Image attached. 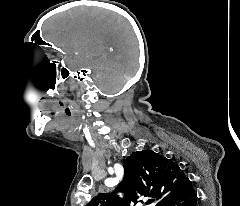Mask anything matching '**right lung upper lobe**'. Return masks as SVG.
Listing matches in <instances>:
<instances>
[{"label":"right lung upper lobe","instance_id":"obj_1","mask_svg":"<svg viewBox=\"0 0 240 206\" xmlns=\"http://www.w3.org/2000/svg\"><path fill=\"white\" fill-rule=\"evenodd\" d=\"M124 178L115 192H123L124 198L114 193H99L87 206L136 205L143 196H152L162 206L166 201L184 192L190 185L180 167L172 160L151 150L138 151L124 162Z\"/></svg>","mask_w":240,"mask_h":206}]
</instances>
